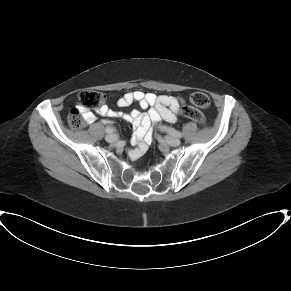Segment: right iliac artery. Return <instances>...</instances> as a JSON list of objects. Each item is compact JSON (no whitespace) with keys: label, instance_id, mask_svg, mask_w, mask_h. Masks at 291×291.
<instances>
[{"label":"right iliac artery","instance_id":"obj_1","mask_svg":"<svg viewBox=\"0 0 291 291\" xmlns=\"http://www.w3.org/2000/svg\"><path fill=\"white\" fill-rule=\"evenodd\" d=\"M113 131H114V130H113L112 128H109V127L106 128V132H107V133H112Z\"/></svg>","mask_w":291,"mask_h":291}]
</instances>
